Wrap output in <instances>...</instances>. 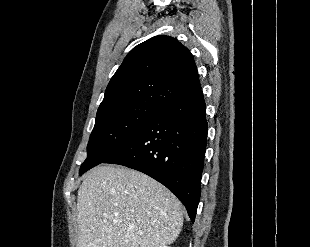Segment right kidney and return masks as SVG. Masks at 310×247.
<instances>
[{"label":"right kidney","instance_id":"ca27d5eb","mask_svg":"<svg viewBox=\"0 0 310 247\" xmlns=\"http://www.w3.org/2000/svg\"><path fill=\"white\" fill-rule=\"evenodd\" d=\"M160 247H168V246H160Z\"/></svg>","mask_w":310,"mask_h":247}]
</instances>
